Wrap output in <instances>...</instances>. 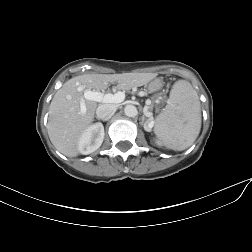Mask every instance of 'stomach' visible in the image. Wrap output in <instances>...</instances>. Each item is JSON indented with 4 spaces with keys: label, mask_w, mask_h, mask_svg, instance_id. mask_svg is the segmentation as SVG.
Segmentation results:
<instances>
[{
    "label": "stomach",
    "mask_w": 252,
    "mask_h": 252,
    "mask_svg": "<svg viewBox=\"0 0 252 252\" xmlns=\"http://www.w3.org/2000/svg\"><path fill=\"white\" fill-rule=\"evenodd\" d=\"M163 87V81L161 79H154L148 85V92L152 93L160 90Z\"/></svg>",
    "instance_id": "obj_1"
}]
</instances>
